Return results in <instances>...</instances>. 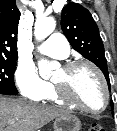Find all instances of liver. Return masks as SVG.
I'll return each instance as SVG.
<instances>
[{"label": "liver", "mask_w": 117, "mask_h": 131, "mask_svg": "<svg viewBox=\"0 0 117 131\" xmlns=\"http://www.w3.org/2000/svg\"><path fill=\"white\" fill-rule=\"evenodd\" d=\"M67 111L0 96V131H36ZM9 121H14L10 124ZM7 126V127H6ZM6 127V128H5Z\"/></svg>", "instance_id": "liver-1"}]
</instances>
